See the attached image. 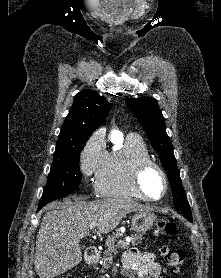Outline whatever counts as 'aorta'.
<instances>
[{"instance_id": "aorta-1", "label": "aorta", "mask_w": 221, "mask_h": 278, "mask_svg": "<svg viewBox=\"0 0 221 278\" xmlns=\"http://www.w3.org/2000/svg\"><path fill=\"white\" fill-rule=\"evenodd\" d=\"M119 136V132L117 131H113L112 134H111V139L112 141H117V138ZM120 137V136H119ZM120 139V138H119Z\"/></svg>"}]
</instances>
